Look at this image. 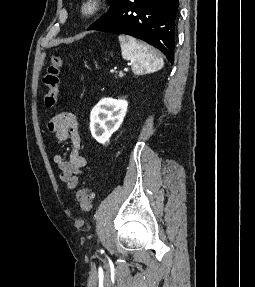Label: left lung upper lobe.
<instances>
[{
	"instance_id": "1",
	"label": "left lung upper lobe",
	"mask_w": 255,
	"mask_h": 287,
	"mask_svg": "<svg viewBox=\"0 0 255 287\" xmlns=\"http://www.w3.org/2000/svg\"><path fill=\"white\" fill-rule=\"evenodd\" d=\"M109 5H112L116 0H107Z\"/></svg>"
}]
</instances>
